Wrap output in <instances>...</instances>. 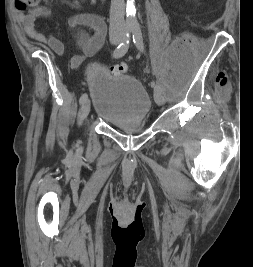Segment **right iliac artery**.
Returning a JSON list of instances; mask_svg holds the SVG:
<instances>
[{
	"label": "right iliac artery",
	"instance_id": "82829eb1",
	"mask_svg": "<svg viewBox=\"0 0 253 267\" xmlns=\"http://www.w3.org/2000/svg\"><path fill=\"white\" fill-rule=\"evenodd\" d=\"M130 34H131V31L127 32L124 38V41L116 47L113 53L114 58H121L127 53L129 49V43H130ZM86 99H87V94L86 93L82 94L79 99L80 104H83V102Z\"/></svg>",
	"mask_w": 253,
	"mask_h": 267
}]
</instances>
